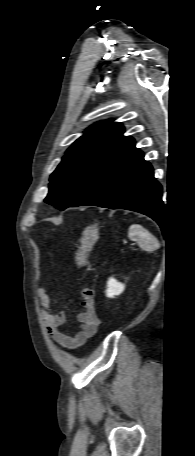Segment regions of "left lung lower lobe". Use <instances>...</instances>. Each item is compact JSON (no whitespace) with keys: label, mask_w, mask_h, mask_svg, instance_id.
<instances>
[{"label":"left lung lower lobe","mask_w":195,"mask_h":456,"mask_svg":"<svg viewBox=\"0 0 195 456\" xmlns=\"http://www.w3.org/2000/svg\"><path fill=\"white\" fill-rule=\"evenodd\" d=\"M84 205L126 209L145 214L159 222L164 210L162 187L154 178L153 168L144 160L135 142L126 151L111 175Z\"/></svg>","instance_id":"1"}]
</instances>
